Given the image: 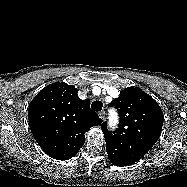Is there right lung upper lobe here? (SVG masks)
Instances as JSON below:
<instances>
[{
	"instance_id": "1",
	"label": "right lung upper lobe",
	"mask_w": 187,
	"mask_h": 187,
	"mask_svg": "<svg viewBox=\"0 0 187 187\" xmlns=\"http://www.w3.org/2000/svg\"><path fill=\"white\" fill-rule=\"evenodd\" d=\"M77 92L73 85L57 82L43 88L29 104L32 134L42 150L57 160L73 157L84 144V134L102 122Z\"/></svg>"
}]
</instances>
